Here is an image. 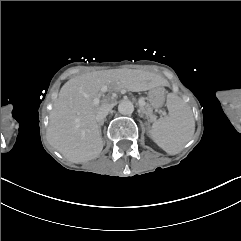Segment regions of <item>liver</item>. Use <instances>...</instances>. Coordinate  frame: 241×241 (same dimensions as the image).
Returning <instances> with one entry per match:
<instances>
[{"label": "liver", "instance_id": "obj_1", "mask_svg": "<svg viewBox=\"0 0 241 241\" xmlns=\"http://www.w3.org/2000/svg\"><path fill=\"white\" fill-rule=\"evenodd\" d=\"M140 74L138 70H104L82 74L67 81L50 112L46 133L49 144L73 163L97 158L103 149V140L96 115L113 107L106 100L101 105L96 103L101 96L100 91L125 88L139 92L157 85L152 75Z\"/></svg>", "mask_w": 241, "mask_h": 241}]
</instances>
